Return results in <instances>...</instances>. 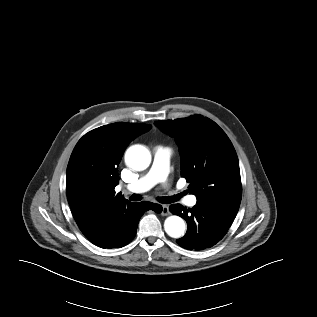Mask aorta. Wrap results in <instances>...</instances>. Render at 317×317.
<instances>
[{
	"mask_svg": "<svg viewBox=\"0 0 317 317\" xmlns=\"http://www.w3.org/2000/svg\"><path fill=\"white\" fill-rule=\"evenodd\" d=\"M126 165L135 170L143 171L151 163L150 151L142 145L131 146L125 153ZM186 225L184 220L176 215L169 216L164 221L165 232L173 238H179L184 234Z\"/></svg>",
	"mask_w": 317,
	"mask_h": 317,
	"instance_id": "1",
	"label": "aorta"
}]
</instances>
